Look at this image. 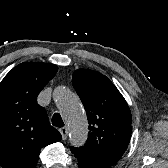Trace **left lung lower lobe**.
<instances>
[{"label":"left lung lower lobe","mask_w":168,"mask_h":168,"mask_svg":"<svg viewBox=\"0 0 168 168\" xmlns=\"http://www.w3.org/2000/svg\"><path fill=\"white\" fill-rule=\"evenodd\" d=\"M78 160L79 168H111L112 164L105 162L93 155L87 153L85 150L76 148L71 150Z\"/></svg>","instance_id":"obj_1"}]
</instances>
